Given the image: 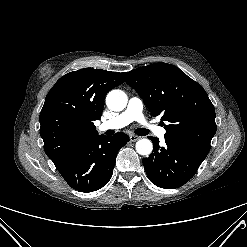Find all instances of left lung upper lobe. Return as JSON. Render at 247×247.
I'll return each mask as SVG.
<instances>
[{"label":"left lung upper lobe","instance_id":"5c2ea615","mask_svg":"<svg viewBox=\"0 0 247 247\" xmlns=\"http://www.w3.org/2000/svg\"><path fill=\"white\" fill-rule=\"evenodd\" d=\"M122 74L152 115H161L162 121L168 122L164 127L166 140L209 152L216 133L215 110L197 82L167 63H155Z\"/></svg>","mask_w":247,"mask_h":247}]
</instances>
